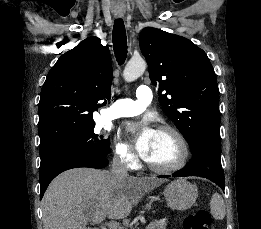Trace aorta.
Returning <instances> with one entry per match:
<instances>
[{"label": "aorta", "mask_w": 261, "mask_h": 229, "mask_svg": "<svg viewBox=\"0 0 261 229\" xmlns=\"http://www.w3.org/2000/svg\"><path fill=\"white\" fill-rule=\"evenodd\" d=\"M145 68L146 62L141 56L139 58H130L123 70V76L129 82L130 80H136V78H139L143 74Z\"/></svg>", "instance_id": "obj_1"}]
</instances>
